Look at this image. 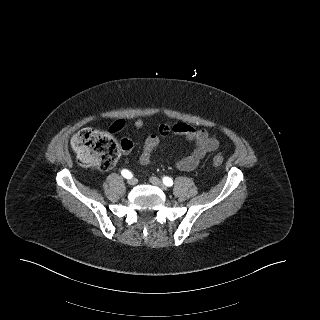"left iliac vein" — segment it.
Returning a JSON list of instances; mask_svg holds the SVG:
<instances>
[{
  "instance_id": "4c4485c4",
  "label": "left iliac vein",
  "mask_w": 320,
  "mask_h": 320,
  "mask_svg": "<svg viewBox=\"0 0 320 320\" xmlns=\"http://www.w3.org/2000/svg\"><path fill=\"white\" fill-rule=\"evenodd\" d=\"M150 182L153 185H155V186L159 187L160 189H162L163 191H167V187L163 184V182L159 178L153 176V177L150 178Z\"/></svg>"
}]
</instances>
